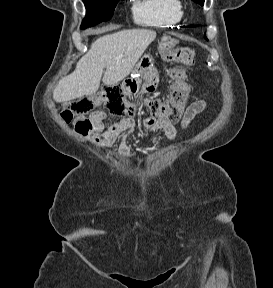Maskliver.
<instances>
[{"label":"liver","instance_id":"liver-1","mask_svg":"<svg viewBox=\"0 0 273 288\" xmlns=\"http://www.w3.org/2000/svg\"><path fill=\"white\" fill-rule=\"evenodd\" d=\"M156 35L154 30L129 29L98 38L75 70L59 81L53 91L54 101L65 103L96 93L104 68L103 83L116 86L130 74Z\"/></svg>","mask_w":273,"mask_h":288}]
</instances>
